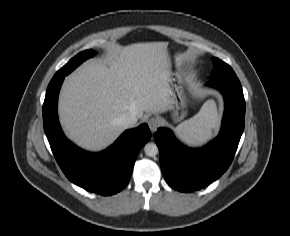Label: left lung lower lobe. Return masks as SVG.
Returning a JSON list of instances; mask_svg holds the SVG:
<instances>
[{"instance_id":"0a47b994","label":"left lung lower lobe","mask_w":290,"mask_h":236,"mask_svg":"<svg viewBox=\"0 0 290 236\" xmlns=\"http://www.w3.org/2000/svg\"><path fill=\"white\" fill-rule=\"evenodd\" d=\"M206 85L218 89L225 100L221 130L214 140L190 149L169 129L159 128L154 135L164 178L181 192L199 190L219 178L230 166L244 130L245 100L237 76L212 78Z\"/></svg>"}]
</instances>
